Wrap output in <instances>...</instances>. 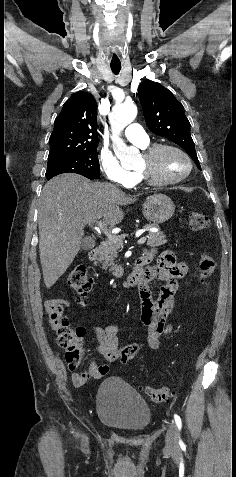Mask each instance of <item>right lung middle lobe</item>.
<instances>
[{"label":"right lung middle lobe","instance_id":"obj_1","mask_svg":"<svg viewBox=\"0 0 236 477\" xmlns=\"http://www.w3.org/2000/svg\"><path fill=\"white\" fill-rule=\"evenodd\" d=\"M97 146L82 148L73 154L49 160L45 174L47 179L62 173H76L88 179H99Z\"/></svg>","mask_w":236,"mask_h":477}]
</instances>
